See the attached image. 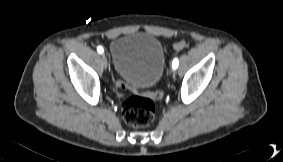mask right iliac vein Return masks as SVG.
Listing matches in <instances>:
<instances>
[{"label": "right iliac vein", "mask_w": 283, "mask_h": 162, "mask_svg": "<svg viewBox=\"0 0 283 162\" xmlns=\"http://www.w3.org/2000/svg\"><path fill=\"white\" fill-rule=\"evenodd\" d=\"M102 65L105 69L108 67V60L105 54H102Z\"/></svg>", "instance_id": "right-iliac-vein-1"}]
</instances>
